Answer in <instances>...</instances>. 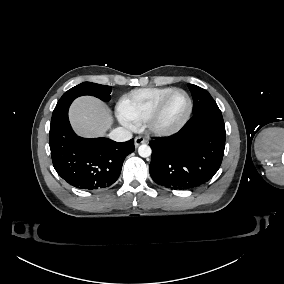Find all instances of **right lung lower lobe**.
I'll list each match as a JSON object with an SVG mask.
<instances>
[{
    "label": "right lung lower lobe",
    "mask_w": 284,
    "mask_h": 284,
    "mask_svg": "<svg viewBox=\"0 0 284 284\" xmlns=\"http://www.w3.org/2000/svg\"><path fill=\"white\" fill-rule=\"evenodd\" d=\"M72 101L56 105L49 144L56 172L70 185L85 190L109 187L119 177L125 157L135 149L134 140L86 139L72 130L68 109Z\"/></svg>",
    "instance_id": "obj_1"
}]
</instances>
